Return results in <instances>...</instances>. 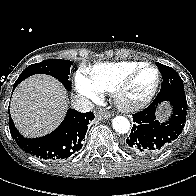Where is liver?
<instances>
[{
	"instance_id": "liver-1",
	"label": "liver",
	"mask_w": 196,
	"mask_h": 196,
	"mask_svg": "<svg viewBox=\"0 0 196 196\" xmlns=\"http://www.w3.org/2000/svg\"><path fill=\"white\" fill-rule=\"evenodd\" d=\"M68 107L67 91L55 78L34 75L15 89L11 117L26 137H39L54 130L62 121Z\"/></svg>"
}]
</instances>
